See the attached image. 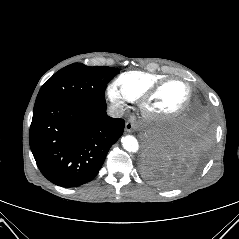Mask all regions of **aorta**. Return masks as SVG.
Here are the masks:
<instances>
[{
  "label": "aorta",
  "instance_id": "aorta-1",
  "mask_svg": "<svg viewBox=\"0 0 239 239\" xmlns=\"http://www.w3.org/2000/svg\"><path fill=\"white\" fill-rule=\"evenodd\" d=\"M121 143L123 148L128 152L136 153L139 150L137 139L132 135L122 137Z\"/></svg>",
  "mask_w": 239,
  "mask_h": 239
}]
</instances>
